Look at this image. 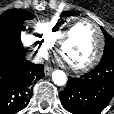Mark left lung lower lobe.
I'll return each mask as SVG.
<instances>
[{
	"instance_id": "obj_1",
	"label": "left lung lower lobe",
	"mask_w": 114,
	"mask_h": 114,
	"mask_svg": "<svg viewBox=\"0 0 114 114\" xmlns=\"http://www.w3.org/2000/svg\"><path fill=\"white\" fill-rule=\"evenodd\" d=\"M114 95V60L100 61L80 78L69 77L66 88L59 93L63 107L73 114H96Z\"/></svg>"
}]
</instances>
